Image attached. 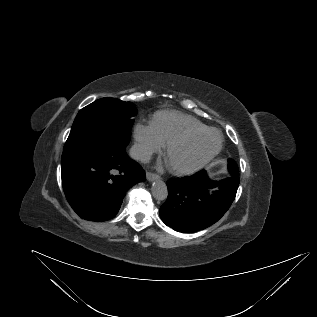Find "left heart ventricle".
<instances>
[{
  "label": "left heart ventricle",
  "instance_id": "obj_1",
  "mask_svg": "<svg viewBox=\"0 0 317 317\" xmlns=\"http://www.w3.org/2000/svg\"><path fill=\"white\" fill-rule=\"evenodd\" d=\"M218 140V135L214 132L196 136L173 149L166 162L170 167H188L209 154L217 146Z\"/></svg>",
  "mask_w": 317,
  "mask_h": 317
}]
</instances>
